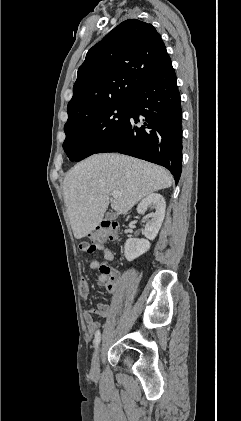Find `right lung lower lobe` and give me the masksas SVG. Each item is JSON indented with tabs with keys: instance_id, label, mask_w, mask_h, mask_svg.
<instances>
[{
	"instance_id": "obj_1",
	"label": "right lung lower lobe",
	"mask_w": 241,
	"mask_h": 421,
	"mask_svg": "<svg viewBox=\"0 0 241 421\" xmlns=\"http://www.w3.org/2000/svg\"><path fill=\"white\" fill-rule=\"evenodd\" d=\"M128 102L125 125L96 153L119 152L164 166L178 182L182 162V109L169 57Z\"/></svg>"
}]
</instances>
